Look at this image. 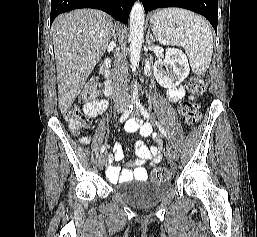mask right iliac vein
<instances>
[{
  "mask_svg": "<svg viewBox=\"0 0 257 237\" xmlns=\"http://www.w3.org/2000/svg\"><path fill=\"white\" fill-rule=\"evenodd\" d=\"M124 110L123 107L118 108V112H122ZM106 159L104 155H101L98 159V167L99 169H103L104 165H105Z\"/></svg>",
  "mask_w": 257,
  "mask_h": 237,
  "instance_id": "1",
  "label": "right iliac vein"
}]
</instances>
